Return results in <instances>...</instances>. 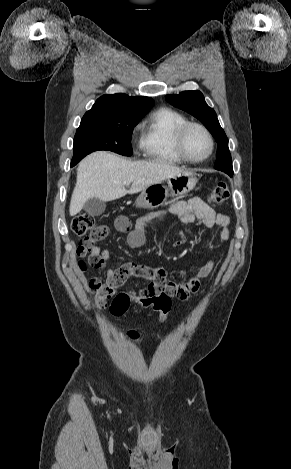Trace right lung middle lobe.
<instances>
[{"mask_svg": "<svg viewBox=\"0 0 291 469\" xmlns=\"http://www.w3.org/2000/svg\"><path fill=\"white\" fill-rule=\"evenodd\" d=\"M140 119L83 116L74 137L71 166L76 165L87 154L97 150H110L124 156H131V135Z\"/></svg>", "mask_w": 291, "mask_h": 469, "instance_id": "dd1d6c3e", "label": "right lung middle lobe"}]
</instances>
